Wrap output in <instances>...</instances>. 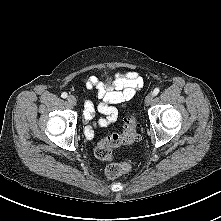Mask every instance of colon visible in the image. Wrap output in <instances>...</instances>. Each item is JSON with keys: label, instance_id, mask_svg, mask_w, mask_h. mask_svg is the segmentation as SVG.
Instances as JSON below:
<instances>
[{"label": "colon", "instance_id": "1", "mask_svg": "<svg viewBox=\"0 0 221 221\" xmlns=\"http://www.w3.org/2000/svg\"><path fill=\"white\" fill-rule=\"evenodd\" d=\"M137 120L134 115H129L124 119L122 131L117 134H111L104 137L97 144L95 156L101 160H111L113 158V149L121 145H130L137 141ZM131 169L128 161L121 163H111L105 169V175L109 179H117Z\"/></svg>", "mask_w": 221, "mask_h": 221}]
</instances>
